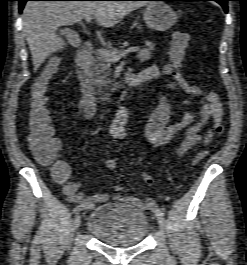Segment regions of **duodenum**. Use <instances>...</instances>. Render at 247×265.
Instances as JSON below:
<instances>
[{"label":"duodenum","mask_w":247,"mask_h":265,"mask_svg":"<svg viewBox=\"0 0 247 265\" xmlns=\"http://www.w3.org/2000/svg\"><path fill=\"white\" fill-rule=\"evenodd\" d=\"M92 50L93 48L90 41H85L79 47L76 55V69L84 95L95 98L97 96H102V93L94 86L90 75ZM124 79L130 87H136L148 82L145 79H138L133 72H127Z\"/></svg>","instance_id":"410a0bca"}]
</instances>
